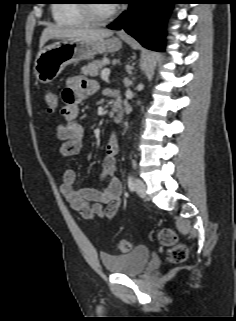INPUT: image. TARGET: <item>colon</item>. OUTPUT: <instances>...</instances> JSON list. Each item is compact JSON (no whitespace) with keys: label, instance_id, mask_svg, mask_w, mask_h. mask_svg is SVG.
I'll return each instance as SVG.
<instances>
[{"label":"colon","instance_id":"5ec220e1","mask_svg":"<svg viewBox=\"0 0 236 321\" xmlns=\"http://www.w3.org/2000/svg\"><path fill=\"white\" fill-rule=\"evenodd\" d=\"M46 110L50 113L58 108V97L53 92L44 95ZM158 241L161 245L168 247L167 259L172 263H182L188 255L187 247L180 242L178 235L171 228H163L158 233ZM120 253H128L132 249V242L128 239H120L115 243Z\"/></svg>","mask_w":236,"mask_h":321}]
</instances>
